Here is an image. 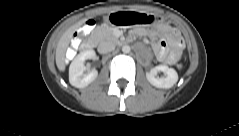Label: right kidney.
Masks as SVG:
<instances>
[{
	"label": "right kidney",
	"instance_id": "obj_1",
	"mask_svg": "<svg viewBox=\"0 0 239 136\" xmlns=\"http://www.w3.org/2000/svg\"><path fill=\"white\" fill-rule=\"evenodd\" d=\"M94 58L95 52L93 50L83 51L74 58L69 67V82L72 86L84 88L97 78L98 71L96 69L86 74L84 73L86 70L84 65L85 60Z\"/></svg>",
	"mask_w": 239,
	"mask_h": 136
}]
</instances>
